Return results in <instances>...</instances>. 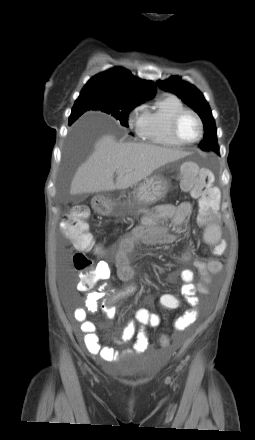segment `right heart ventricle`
I'll use <instances>...</instances> for the list:
<instances>
[{"label": "right heart ventricle", "mask_w": 255, "mask_h": 440, "mask_svg": "<svg viewBox=\"0 0 255 440\" xmlns=\"http://www.w3.org/2000/svg\"><path fill=\"white\" fill-rule=\"evenodd\" d=\"M185 106L180 98L166 94L144 109L138 134L143 140L161 146L176 148L181 145L176 142L171 132V122L177 112Z\"/></svg>", "instance_id": "obj_1"}]
</instances>
